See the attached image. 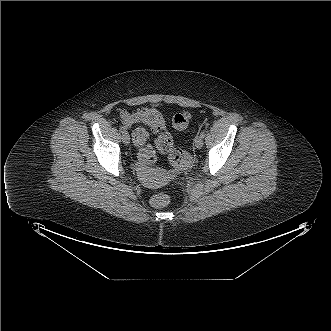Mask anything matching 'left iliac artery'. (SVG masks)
<instances>
[{"mask_svg":"<svg viewBox=\"0 0 331 331\" xmlns=\"http://www.w3.org/2000/svg\"><path fill=\"white\" fill-rule=\"evenodd\" d=\"M200 135H201L202 138H204L205 137V131H201Z\"/></svg>","mask_w":331,"mask_h":331,"instance_id":"obj_1","label":"left iliac artery"}]
</instances>
